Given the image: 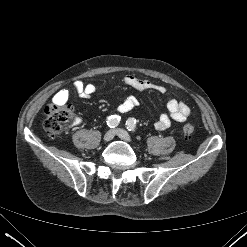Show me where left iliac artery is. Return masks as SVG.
<instances>
[{
    "instance_id": "44dca946",
    "label": "left iliac artery",
    "mask_w": 247,
    "mask_h": 247,
    "mask_svg": "<svg viewBox=\"0 0 247 247\" xmlns=\"http://www.w3.org/2000/svg\"><path fill=\"white\" fill-rule=\"evenodd\" d=\"M136 120L134 118H129L127 121H126V127L129 131L131 132H135V128H136Z\"/></svg>"
}]
</instances>
